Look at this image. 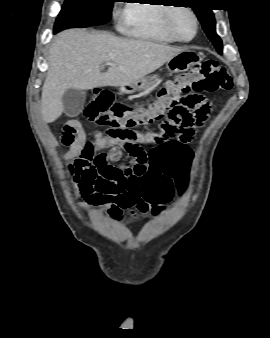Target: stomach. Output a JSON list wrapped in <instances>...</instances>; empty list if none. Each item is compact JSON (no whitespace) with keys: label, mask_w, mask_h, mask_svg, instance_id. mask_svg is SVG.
<instances>
[{"label":"stomach","mask_w":270,"mask_h":338,"mask_svg":"<svg viewBox=\"0 0 270 338\" xmlns=\"http://www.w3.org/2000/svg\"><path fill=\"white\" fill-rule=\"evenodd\" d=\"M199 62L200 57L197 53L191 50H185L168 60L166 68L170 74L185 72ZM159 81L158 75L143 77L132 84L121 86L120 91L123 93H134L136 91L150 89L155 87Z\"/></svg>","instance_id":"stomach-1"}]
</instances>
